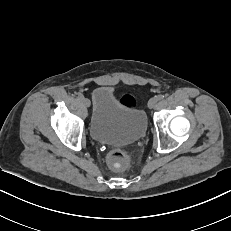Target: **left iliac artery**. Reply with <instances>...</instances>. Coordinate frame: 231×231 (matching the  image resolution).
I'll list each match as a JSON object with an SVG mask.
<instances>
[{
  "instance_id": "left-iliac-artery-1",
  "label": "left iliac artery",
  "mask_w": 231,
  "mask_h": 231,
  "mask_svg": "<svg viewBox=\"0 0 231 231\" xmlns=\"http://www.w3.org/2000/svg\"><path fill=\"white\" fill-rule=\"evenodd\" d=\"M164 97H165V96L162 95V94H160V95L157 96L158 100H162Z\"/></svg>"
}]
</instances>
